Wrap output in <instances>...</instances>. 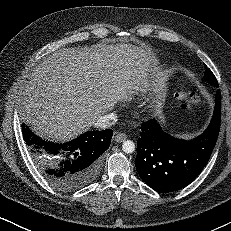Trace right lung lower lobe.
Segmentation results:
<instances>
[{
  "mask_svg": "<svg viewBox=\"0 0 231 231\" xmlns=\"http://www.w3.org/2000/svg\"><path fill=\"white\" fill-rule=\"evenodd\" d=\"M23 137L42 176L59 190L70 192L85 187L99 174L103 153L113 131H88L59 144L36 136L22 124Z\"/></svg>",
  "mask_w": 231,
  "mask_h": 231,
  "instance_id": "obj_1",
  "label": "right lung lower lobe"
}]
</instances>
